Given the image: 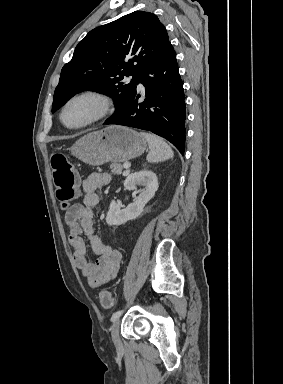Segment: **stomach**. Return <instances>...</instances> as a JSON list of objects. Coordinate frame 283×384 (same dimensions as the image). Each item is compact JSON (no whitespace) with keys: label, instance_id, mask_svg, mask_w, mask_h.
I'll return each instance as SVG.
<instances>
[{"label":"stomach","instance_id":"0dacf381","mask_svg":"<svg viewBox=\"0 0 283 384\" xmlns=\"http://www.w3.org/2000/svg\"><path fill=\"white\" fill-rule=\"evenodd\" d=\"M146 140L140 134L124 126H108L99 132H91L77 140L70 148L72 156L89 164L102 166L106 162H127L138 158L146 150Z\"/></svg>","mask_w":283,"mask_h":384}]
</instances>
